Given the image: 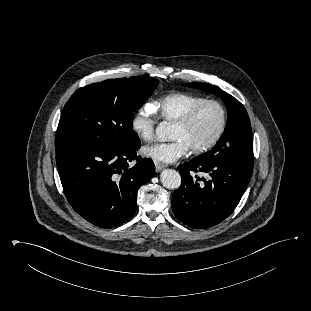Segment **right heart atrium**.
<instances>
[{"label":"right heart atrium","mask_w":311,"mask_h":311,"mask_svg":"<svg viewBox=\"0 0 311 311\" xmlns=\"http://www.w3.org/2000/svg\"><path fill=\"white\" fill-rule=\"evenodd\" d=\"M154 108L152 103L142 106L131 119V129L142 141L149 142L155 134Z\"/></svg>","instance_id":"right-heart-atrium-1"}]
</instances>
